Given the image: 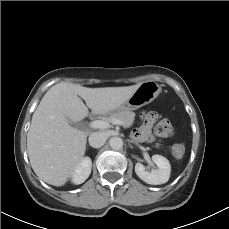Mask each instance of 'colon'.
I'll use <instances>...</instances> for the list:
<instances>
[{
	"label": "colon",
	"mask_w": 229,
	"mask_h": 229,
	"mask_svg": "<svg viewBox=\"0 0 229 229\" xmlns=\"http://www.w3.org/2000/svg\"><path fill=\"white\" fill-rule=\"evenodd\" d=\"M173 134V127L169 120H161L154 129V135L156 138H166ZM174 155L179 158L183 154V148L177 147L173 150Z\"/></svg>",
	"instance_id": "1"
}]
</instances>
